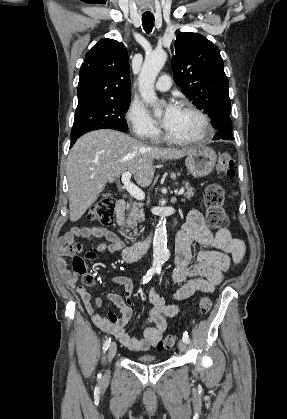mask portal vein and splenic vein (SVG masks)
I'll use <instances>...</instances> for the list:
<instances>
[{
  "label": "portal vein and splenic vein",
  "mask_w": 287,
  "mask_h": 419,
  "mask_svg": "<svg viewBox=\"0 0 287 419\" xmlns=\"http://www.w3.org/2000/svg\"><path fill=\"white\" fill-rule=\"evenodd\" d=\"M131 176H132V173L129 172V171H127V172H125V173L122 174L121 181L124 184L125 189L135 199H137V200H144L145 193L139 187H137L135 184H133L131 182ZM183 193H184V189L183 188L180 189L177 192L178 195H182Z\"/></svg>",
  "instance_id": "obj_1"
}]
</instances>
